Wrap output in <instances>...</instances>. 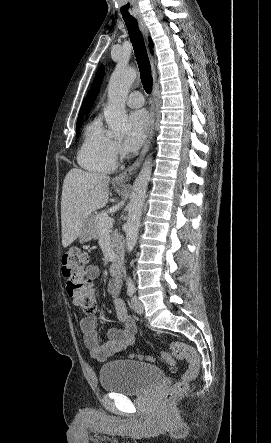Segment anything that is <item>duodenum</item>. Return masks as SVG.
<instances>
[{"label":"duodenum","instance_id":"obj_1","mask_svg":"<svg viewBox=\"0 0 271 443\" xmlns=\"http://www.w3.org/2000/svg\"><path fill=\"white\" fill-rule=\"evenodd\" d=\"M122 267H123L122 259L121 258L114 259L110 266V273L112 274V276L119 277L122 272Z\"/></svg>","mask_w":271,"mask_h":443}]
</instances>
